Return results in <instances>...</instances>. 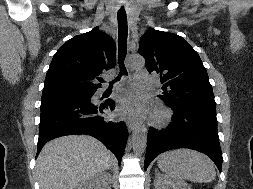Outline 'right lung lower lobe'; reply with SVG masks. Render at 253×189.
Wrapping results in <instances>:
<instances>
[{
    "instance_id": "1",
    "label": "right lung lower lobe",
    "mask_w": 253,
    "mask_h": 189,
    "mask_svg": "<svg viewBox=\"0 0 253 189\" xmlns=\"http://www.w3.org/2000/svg\"><path fill=\"white\" fill-rule=\"evenodd\" d=\"M90 99L56 97L41 100L37 155L50 139L69 134H87L102 141L121 163L128 138L126 125L122 121H108L103 116L104 108L109 106L114 109L112 100L93 104Z\"/></svg>"
}]
</instances>
